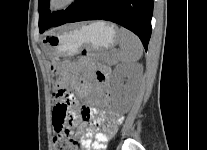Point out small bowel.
Listing matches in <instances>:
<instances>
[{
    "label": "small bowel",
    "instance_id": "1",
    "mask_svg": "<svg viewBox=\"0 0 207 150\" xmlns=\"http://www.w3.org/2000/svg\"><path fill=\"white\" fill-rule=\"evenodd\" d=\"M66 72L73 91L86 102L79 113L75 109L70 111L71 119L75 122L80 116L84 123L92 121L95 125V128L87 130L82 141V150H104L106 143L117 132L123 120L121 114L113 111L107 113L102 109V107H110L111 104L110 70L91 59L81 58L73 68H67ZM76 72H81L83 77H77ZM82 128L83 126L79 127L80 130ZM93 136L94 140H92Z\"/></svg>",
    "mask_w": 207,
    "mask_h": 150
}]
</instances>
